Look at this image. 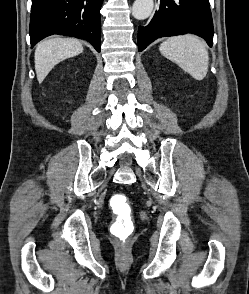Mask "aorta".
Segmentation results:
<instances>
[{
    "mask_svg": "<svg viewBox=\"0 0 249 294\" xmlns=\"http://www.w3.org/2000/svg\"><path fill=\"white\" fill-rule=\"evenodd\" d=\"M153 8V0H135L132 6V15L137 20H144L151 15Z\"/></svg>",
    "mask_w": 249,
    "mask_h": 294,
    "instance_id": "obj_1",
    "label": "aorta"
}]
</instances>
